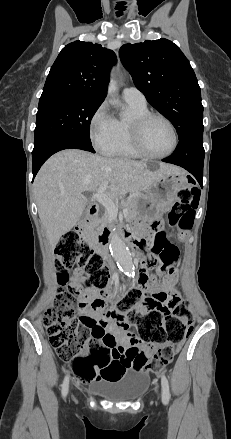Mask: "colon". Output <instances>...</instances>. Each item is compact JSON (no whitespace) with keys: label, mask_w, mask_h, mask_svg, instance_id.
<instances>
[{"label":"colon","mask_w":231,"mask_h":439,"mask_svg":"<svg viewBox=\"0 0 231 439\" xmlns=\"http://www.w3.org/2000/svg\"><path fill=\"white\" fill-rule=\"evenodd\" d=\"M178 196L180 201L171 211L169 221L180 231H189L193 227L199 194L196 189L185 187L179 190ZM56 255L58 282L65 285L70 270L80 273L83 277L82 290L96 295L91 306L101 305L110 279V270L104 257L75 232L61 238ZM157 256L150 264L158 265L160 271L167 274L177 260L178 251L173 248ZM145 290L153 291L155 285L149 273L143 271L139 275L138 285L129 288L115 302L114 309L129 326H136L139 341L148 345L147 353H130L133 368L158 371L172 361L177 346L190 334L194 318L186 301L175 303L169 310L154 308L142 312ZM84 306L76 292L70 289L59 291L53 307L43 317L49 342L58 357L68 362L80 378L120 380L130 365L129 361L122 360L121 354L103 344L91 345L90 324L81 317Z\"/></svg>","instance_id":"obj_1"}]
</instances>
